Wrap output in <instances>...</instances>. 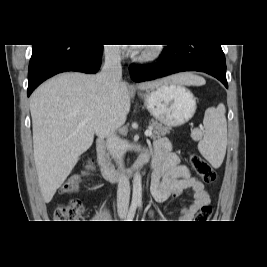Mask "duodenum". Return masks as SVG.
<instances>
[{
  "label": "duodenum",
  "mask_w": 267,
  "mask_h": 267,
  "mask_svg": "<svg viewBox=\"0 0 267 267\" xmlns=\"http://www.w3.org/2000/svg\"><path fill=\"white\" fill-rule=\"evenodd\" d=\"M96 158L103 178L110 181L118 180L120 176L130 177L137 169L141 168L148 162V158L141 156L129 169L125 171H118L108 160L103 138H98L96 141Z\"/></svg>",
  "instance_id": "1"
}]
</instances>
